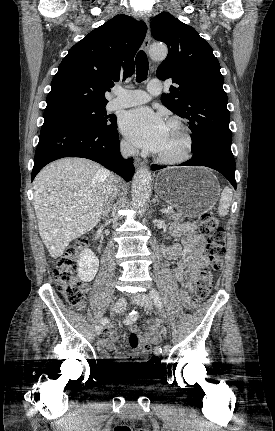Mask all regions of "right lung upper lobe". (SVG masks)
<instances>
[{
  "instance_id": "1",
  "label": "right lung upper lobe",
  "mask_w": 275,
  "mask_h": 431,
  "mask_svg": "<svg viewBox=\"0 0 275 431\" xmlns=\"http://www.w3.org/2000/svg\"><path fill=\"white\" fill-rule=\"evenodd\" d=\"M146 30L143 21L117 15L86 35L60 63L44 113L106 105L105 92L134 73V55Z\"/></svg>"
}]
</instances>
